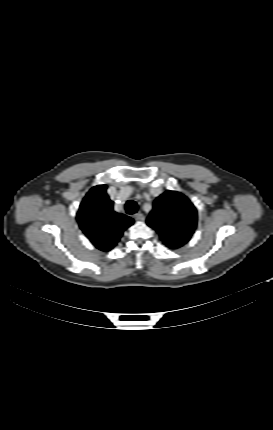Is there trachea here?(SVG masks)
Segmentation results:
<instances>
[{
    "mask_svg": "<svg viewBox=\"0 0 273 430\" xmlns=\"http://www.w3.org/2000/svg\"><path fill=\"white\" fill-rule=\"evenodd\" d=\"M138 206L137 203L133 200H129L126 202V212L128 214H135L137 212Z\"/></svg>",
    "mask_w": 273,
    "mask_h": 430,
    "instance_id": "trachea-1",
    "label": "trachea"
}]
</instances>
